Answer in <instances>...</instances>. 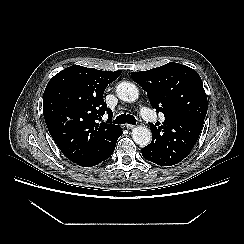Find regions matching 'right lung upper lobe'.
<instances>
[{"label":"right lung upper lobe","mask_w":244,"mask_h":244,"mask_svg":"<svg viewBox=\"0 0 244 244\" xmlns=\"http://www.w3.org/2000/svg\"><path fill=\"white\" fill-rule=\"evenodd\" d=\"M121 70L101 71L79 65L56 74L44 91L43 114L48 130L61 152L80 163L102 156L113 143L120 127L97 120L112 111L103 100L108 84Z\"/></svg>","instance_id":"right-lung-upper-lobe-1"}]
</instances>
